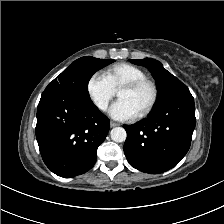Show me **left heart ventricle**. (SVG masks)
<instances>
[{
  "mask_svg": "<svg viewBox=\"0 0 224 224\" xmlns=\"http://www.w3.org/2000/svg\"><path fill=\"white\" fill-rule=\"evenodd\" d=\"M150 96V89L145 86L135 91L120 90L117 93L118 99L127 101L137 113H139L146 106Z\"/></svg>",
  "mask_w": 224,
  "mask_h": 224,
  "instance_id": "b2bd125f",
  "label": "left heart ventricle"
}]
</instances>
